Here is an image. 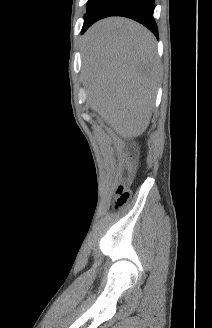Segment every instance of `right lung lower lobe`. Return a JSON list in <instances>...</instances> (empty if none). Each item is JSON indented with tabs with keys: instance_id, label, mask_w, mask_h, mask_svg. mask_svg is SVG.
I'll list each match as a JSON object with an SVG mask.
<instances>
[{
	"instance_id": "right-lung-lower-lobe-1",
	"label": "right lung lower lobe",
	"mask_w": 212,
	"mask_h": 328,
	"mask_svg": "<svg viewBox=\"0 0 212 328\" xmlns=\"http://www.w3.org/2000/svg\"><path fill=\"white\" fill-rule=\"evenodd\" d=\"M154 7V0H97L85 16L81 32L83 34L102 18L123 16L143 24L158 38V29L153 17Z\"/></svg>"
}]
</instances>
